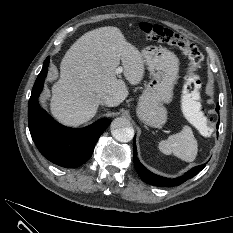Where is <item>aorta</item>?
Here are the masks:
<instances>
[{"mask_svg":"<svg viewBox=\"0 0 233 233\" xmlns=\"http://www.w3.org/2000/svg\"><path fill=\"white\" fill-rule=\"evenodd\" d=\"M111 133L117 141L129 142L133 139L134 129L130 126L128 119L118 117L111 123Z\"/></svg>","mask_w":233,"mask_h":233,"instance_id":"aorta-1","label":"aorta"}]
</instances>
